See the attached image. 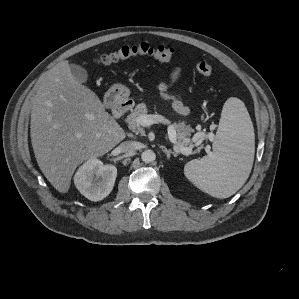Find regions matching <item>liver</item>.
Segmentation results:
<instances>
[{"label": "liver", "instance_id": "liver-1", "mask_svg": "<svg viewBox=\"0 0 299 299\" xmlns=\"http://www.w3.org/2000/svg\"><path fill=\"white\" fill-rule=\"evenodd\" d=\"M31 143L51 185L67 193L76 167L103 156L125 138L99 97L75 80L67 60L42 80L32 106Z\"/></svg>", "mask_w": 299, "mask_h": 299}]
</instances>
